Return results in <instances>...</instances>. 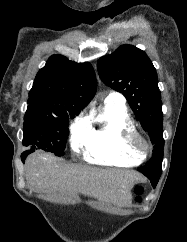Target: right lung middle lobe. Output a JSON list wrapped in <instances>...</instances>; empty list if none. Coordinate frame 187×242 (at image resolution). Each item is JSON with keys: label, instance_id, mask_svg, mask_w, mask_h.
<instances>
[{"label": "right lung middle lobe", "instance_id": "1", "mask_svg": "<svg viewBox=\"0 0 187 242\" xmlns=\"http://www.w3.org/2000/svg\"><path fill=\"white\" fill-rule=\"evenodd\" d=\"M75 113L26 112L23 124V145L31 150L42 149L63 156L68 136L69 116Z\"/></svg>", "mask_w": 187, "mask_h": 242}]
</instances>
